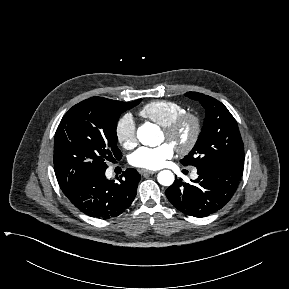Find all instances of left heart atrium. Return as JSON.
Returning <instances> with one entry per match:
<instances>
[{"label": "left heart atrium", "mask_w": 289, "mask_h": 289, "mask_svg": "<svg viewBox=\"0 0 289 289\" xmlns=\"http://www.w3.org/2000/svg\"><path fill=\"white\" fill-rule=\"evenodd\" d=\"M174 155V147L163 143L158 147H140L129 157V163L141 169H158Z\"/></svg>", "instance_id": "1"}]
</instances>
